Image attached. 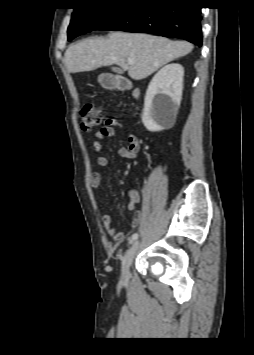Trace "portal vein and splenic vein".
Returning a JSON list of instances; mask_svg holds the SVG:
<instances>
[{
    "label": "portal vein and splenic vein",
    "instance_id": "obj_1",
    "mask_svg": "<svg viewBox=\"0 0 254 355\" xmlns=\"http://www.w3.org/2000/svg\"><path fill=\"white\" fill-rule=\"evenodd\" d=\"M133 62H134L133 59H131V58H128V59H127V63H128V64H132Z\"/></svg>",
    "mask_w": 254,
    "mask_h": 355
}]
</instances>
